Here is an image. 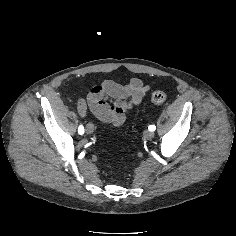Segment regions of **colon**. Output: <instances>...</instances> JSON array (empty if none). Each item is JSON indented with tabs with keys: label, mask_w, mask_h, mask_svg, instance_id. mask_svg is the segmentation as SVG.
<instances>
[{
	"label": "colon",
	"mask_w": 236,
	"mask_h": 236,
	"mask_svg": "<svg viewBox=\"0 0 236 236\" xmlns=\"http://www.w3.org/2000/svg\"><path fill=\"white\" fill-rule=\"evenodd\" d=\"M167 99V95L163 91H155L152 94L151 100L155 104L164 103Z\"/></svg>",
	"instance_id": "1"
}]
</instances>
